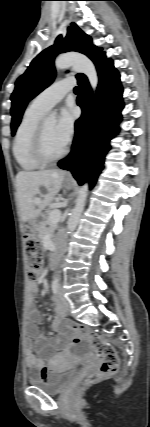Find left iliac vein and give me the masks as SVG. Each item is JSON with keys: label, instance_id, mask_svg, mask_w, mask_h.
I'll use <instances>...</instances> for the list:
<instances>
[{"label": "left iliac vein", "instance_id": "4c4485c4", "mask_svg": "<svg viewBox=\"0 0 150 427\" xmlns=\"http://www.w3.org/2000/svg\"><path fill=\"white\" fill-rule=\"evenodd\" d=\"M58 294H59V299H60V303H61V305L64 307V308H66V309H70L71 308V304H70V302L63 296V293H62V290H61V288H59V291H58Z\"/></svg>", "mask_w": 150, "mask_h": 427}]
</instances>
